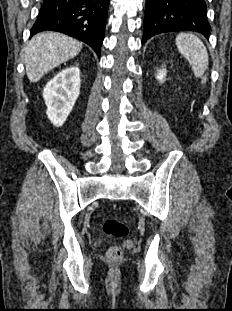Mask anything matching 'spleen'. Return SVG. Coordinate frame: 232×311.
<instances>
[{"label":"spleen","instance_id":"spleen-1","mask_svg":"<svg viewBox=\"0 0 232 311\" xmlns=\"http://www.w3.org/2000/svg\"><path fill=\"white\" fill-rule=\"evenodd\" d=\"M176 45L180 53L188 60L196 77L206 83L204 73L208 67V52L203 42L195 35L181 33L176 37Z\"/></svg>","mask_w":232,"mask_h":311}]
</instances>
